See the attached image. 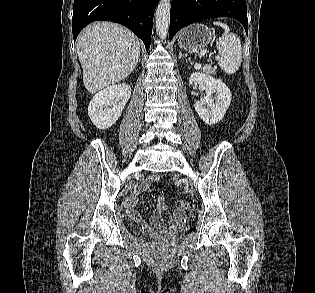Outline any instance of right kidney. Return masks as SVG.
<instances>
[{
    "label": "right kidney",
    "mask_w": 315,
    "mask_h": 293,
    "mask_svg": "<svg viewBox=\"0 0 315 293\" xmlns=\"http://www.w3.org/2000/svg\"><path fill=\"white\" fill-rule=\"evenodd\" d=\"M130 96L129 85H113L98 92L88 106L94 126L102 130L111 127L121 116Z\"/></svg>",
    "instance_id": "right-kidney-1"
}]
</instances>
